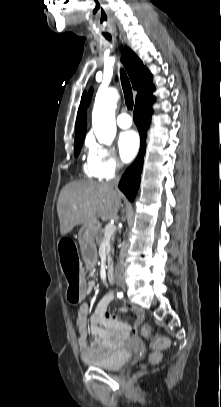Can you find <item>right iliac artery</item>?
<instances>
[{
  "label": "right iliac artery",
  "mask_w": 221,
  "mask_h": 407,
  "mask_svg": "<svg viewBox=\"0 0 221 407\" xmlns=\"http://www.w3.org/2000/svg\"><path fill=\"white\" fill-rule=\"evenodd\" d=\"M123 296V294L120 292V293H117V297H122Z\"/></svg>",
  "instance_id": "obj_1"
}]
</instances>
